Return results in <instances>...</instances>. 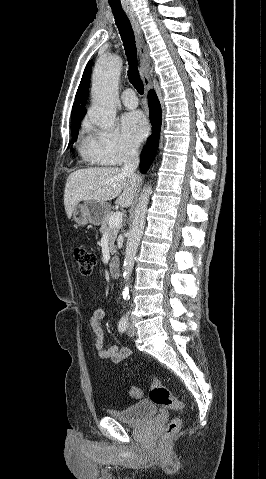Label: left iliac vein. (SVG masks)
Listing matches in <instances>:
<instances>
[{"label": "left iliac vein", "mask_w": 266, "mask_h": 479, "mask_svg": "<svg viewBox=\"0 0 266 479\" xmlns=\"http://www.w3.org/2000/svg\"><path fill=\"white\" fill-rule=\"evenodd\" d=\"M136 334V329L132 323H129L128 329H127V335L129 336H134Z\"/></svg>", "instance_id": "left-iliac-vein-1"}]
</instances>
